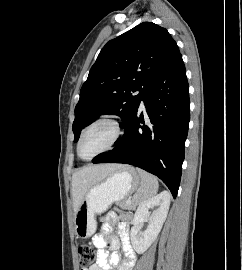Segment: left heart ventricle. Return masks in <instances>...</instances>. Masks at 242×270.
I'll use <instances>...</instances> for the list:
<instances>
[{
  "instance_id": "left-heart-ventricle-1",
  "label": "left heart ventricle",
  "mask_w": 242,
  "mask_h": 270,
  "mask_svg": "<svg viewBox=\"0 0 242 270\" xmlns=\"http://www.w3.org/2000/svg\"><path fill=\"white\" fill-rule=\"evenodd\" d=\"M113 137V128L108 124H98L90 128L84 135L80 154L84 158H89L104 149Z\"/></svg>"
}]
</instances>
